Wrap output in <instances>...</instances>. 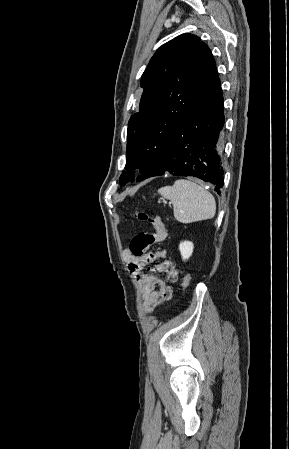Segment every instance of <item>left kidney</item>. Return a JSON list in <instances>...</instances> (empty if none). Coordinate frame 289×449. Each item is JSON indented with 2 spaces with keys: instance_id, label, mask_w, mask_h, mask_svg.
I'll list each match as a JSON object with an SVG mask.
<instances>
[{
  "instance_id": "5707ae66",
  "label": "left kidney",
  "mask_w": 289,
  "mask_h": 449,
  "mask_svg": "<svg viewBox=\"0 0 289 449\" xmlns=\"http://www.w3.org/2000/svg\"><path fill=\"white\" fill-rule=\"evenodd\" d=\"M194 245L190 241L181 242L179 245V250L182 256V259L188 260L193 253Z\"/></svg>"
}]
</instances>
